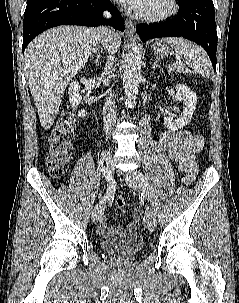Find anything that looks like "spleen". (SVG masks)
Instances as JSON below:
<instances>
[{
  "label": "spleen",
  "mask_w": 239,
  "mask_h": 303,
  "mask_svg": "<svg viewBox=\"0 0 239 303\" xmlns=\"http://www.w3.org/2000/svg\"><path fill=\"white\" fill-rule=\"evenodd\" d=\"M161 43H167L181 55L185 63L198 72L202 77L209 78L211 72V62L204 49L195 43L176 37H169L161 40Z\"/></svg>",
  "instance_id": "spleen-1"
}]
</instances>
